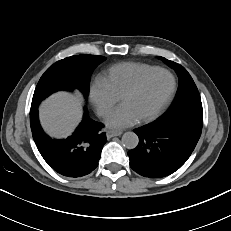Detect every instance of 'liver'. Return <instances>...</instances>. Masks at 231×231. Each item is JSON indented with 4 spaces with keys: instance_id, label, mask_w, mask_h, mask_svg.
I'll use <instances>...</instances> for the list:
<instances>
[{
    "instance_id": "6515ba94",
    "label": "liver",
    "mask_w": 231,
    "mask_h": 231,
    "mask_svg": "<svg viewBox=\"0 0 231 231\" xmlns=\"http://www.w3.org/2000/svg\"><path fill=\"white\" fill-rule=\"evenodd\" d=\"M39 112L42 127L56 138L69 136L82 117L79 99L66 92L53 94L41 104Z\"/></svg>"
}]
</instances>
